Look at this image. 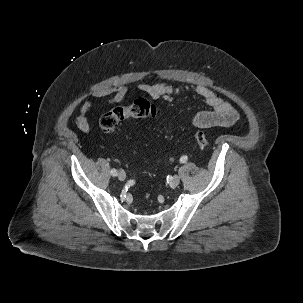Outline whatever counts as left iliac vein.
<instances>
[{
	"mask_svg": "<svg viewBox=\"0 0 303 303\" xmlns=\"http://www.w3.org/2000/svg\"><path fill=\"white\" fill-rule=\"evenodd\" d=\"M179 183H180V177L178 175H174L171 178L169 185H170L171 188L174 189L179 185Z\"/></svg>",
	"mask_w": 303,
	"mask_h": 303,
	"instance_id": "1",
	"label": "left iliac vein"
}]
</instances>
